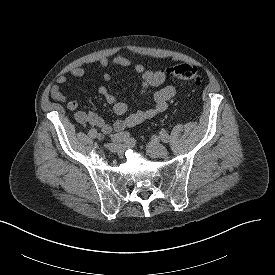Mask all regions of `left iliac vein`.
Here are the masks:
<instances>
[{"label":"left iliac vein","instance_id":"4c4485c4","mask_svg":"<svg viewBox=\"0 0 275 275\" xmlns=\"http://www.w3.org/2000/svg\"><path fill=\"white\" fill-rule=\"evenodd\" d=\"M146 150L151 157L165 158L168 155L167 149L157 140H152L147 144Z\"/></svg>","mask_w":275,"mask_h":275}]
</instances>
